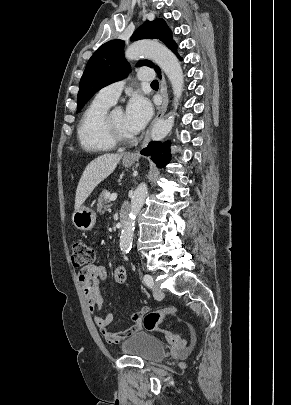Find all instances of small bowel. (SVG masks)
<instances>
[{"label":"small bowel","instance_id":"1","mask_svg":"<svg viewBox=\"0 0 291 405\" xmlns=\"http://www.w3.org/2000/svg\"><path fill=\"white\" fill-rule=\"evenodd\" d=\"M107 272L103 266L90 265L83 267L78 273V280L82 286L84 296L87 301L89 311L93 319L104 336L106 341L110 344H117L129 338L142 327V319L148 313V307H142L132 315L133 325L120 332H113L109 329L114 317L112 313H107L105 316L101 315V308L104 302L102 286L106 280Z\"/></svg>","mask_w":291,"mask_h":405}]
</instances>
